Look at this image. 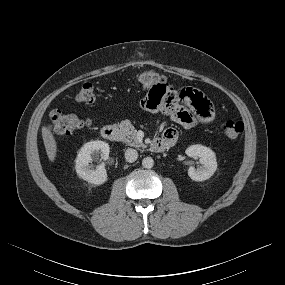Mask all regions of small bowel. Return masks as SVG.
I'll list each match as a JSON object with an SVG mask.
<instances>
[{"label": "small bowel", "instance_id": "small-bowel-1", "mask_svg": "<svg viewBox=\"0 0 285 285\" xmlns=\"http://www.w3.org/2000/svg\"><path fill=\"white\" fill-rule=\"evenodd\" d=\"M140 106L146 111L167 114L184 128L207 124L215 119V109L211 101L201 91L192 87L178 91L166 83L153 84L148 88L146 97L140 101ZM177 137V131L169 127L164 130L160 139L172 145Z\"/></svg>", "mask_w": 285, "mask_h": 285}]
</instances>
